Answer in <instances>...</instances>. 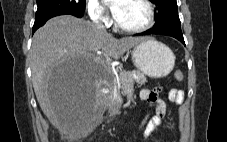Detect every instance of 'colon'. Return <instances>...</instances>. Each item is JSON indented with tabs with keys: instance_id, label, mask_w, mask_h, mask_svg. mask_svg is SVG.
Returning <instances> with one entry per match:
<instances>
[{
	"instance_id": "5ec220e1",
	"label": "colon",
	"mask_w": 227,
	"mask_h": 142,
	"mask_svg": "<svg viewBox=\"0 0 227 142\" xmlns=\"http://www.w3.org/2000/svg\"><path fill=\"white\" fill-rule=\"evenodd\" d=\"M175 78L177 80H182L183 78V74L181 71H176L175 72ZM155 114H148L140 123V125L138 126L137 130L134 132L133 135L129 136L128 138H126L125 140H122L121 142H133V140L135 139V137L139 134H141L142 132H144V130L147 128V126L149 125V123L153 120Z\"/></svg>"
}]
</instances>
